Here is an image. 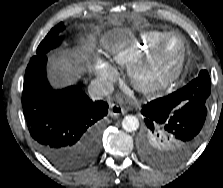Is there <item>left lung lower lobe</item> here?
Returning <instances> with one entry per match:
<instances>
[{
	"instance_id": "obj_1",
	"label": "left lung lower lobe",
	"mask_w": 223,
	"mask_h": 188,
	"mask_svg": "<svg viewBox=\"0 0 223 188\" xmlns=\"http://www.w3.org/2000/svg\"><path fill=\"white\" fill-rule=\"evenodd\" d=\"M141 113L145 129L169 133L178 144L179 155L186 157L199 143L207 108L191 101L180 103L168 95L147 103Z\"/></svg>"
}]
</instances>
